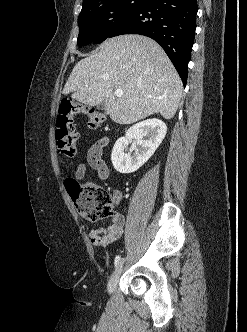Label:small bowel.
I'll return each mask as SVG.
<instances>
[{
	"label": "small bowel",
	"instance_id": "c3829d8e",
	"mask_svg": "<svg viewBox=\"0 0 247 332\" xmlns=\"http://www.w3.org/2000/svg\"><path fill=\"white\" fill-rule=\"evenodd\" d=\"M108 143L107 138L97 141L89 150L88 162L90 166L97 171L98 178L106 180L109 176V168L102 159L103 148ZM86 166L79 164L75 171V179L82 180L85 178ZM113 204L119 205L122 200V193L115 190L112 193ZM125 227V217L122 214H116L107 228H92L89 230V238L94 246H106L118 240Z\"/></svg>",
	"mask_w": 247,
	"mask_h": 332
}]
</instances>
